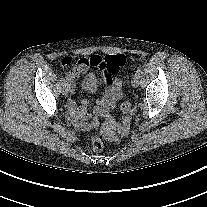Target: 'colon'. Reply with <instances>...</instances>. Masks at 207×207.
I'll return each mask as SVG.
<instances>
[{"mask_svg": "<svg viewBox=\"0 0 207 207\" xmlns=\"http://www.w3.org/2000/svg\"><path fill=\"white\" fill-rule=\"evenodd\" d=\"M127 63V59L124 55H113L105 58H93L84 62L79 61L77 66L69 70V77L71 79H77L79 74L85 68L95 66L101 70L102 76L107 78L118 73ZM64 67H69V62L62 63ZM121 111L123 114L122 125L119 129V136L124 137L129 132L131 118L133 114L132 106L129 102H123L121 104ZM91 146L95 151H101L103 149V143L98 137H91Z\"/></svg>", "mask_w": 207, "mask_h": 207, "instance_id": "colon-1", "label": "colon"}]
</instances>
